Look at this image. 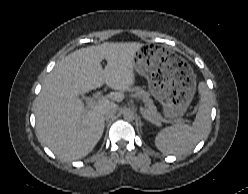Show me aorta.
Returning a JSON list of instances; mask_svg holds the SVG:
<instances>
[{
    "label": "aorta",
    "mask_w": 248,
    "mask_h": 194,
    "mask_svg": "<svg viewBox=\"0 0 248 194\" xmlns=\"http://www.w3.org/2000/svg\"><path fill=\"white\" fill-rule=\"evenodd\" d=\"M123 118L126 121H132V120H134L135 115L131 110H126L123 114Z\"/></svg>",
    "instance_id": "1"
}]
</instances>
